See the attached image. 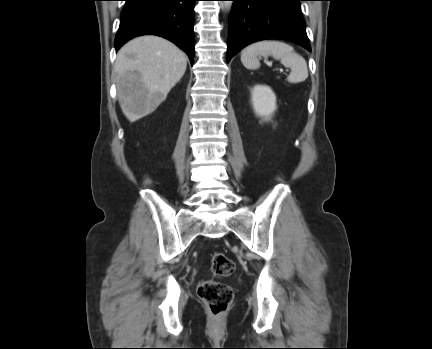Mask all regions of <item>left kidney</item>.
<instances>
[{
    "label": "left kidney",
    "instance_id": "obj_1",
    "mask_svg": "<svg viewBox=\"0 0 432 349\" xmlns=\"http://www.w3.org/2000/svg\"><path fill=\"white\" fill-rule=\"evenodd\" d=\"M254 112L260 117L269 119L275 112L276 96L269 86L255 85L251 91Z\"/></svg>",
    "mask_w": 432,
    "mask_h": 349
}]
</instances>
